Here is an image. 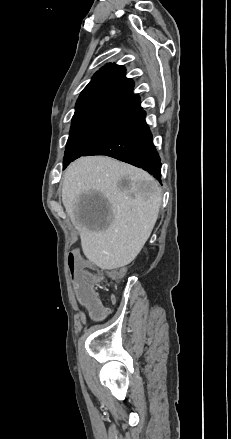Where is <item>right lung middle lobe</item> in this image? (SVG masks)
<instances>
[{
    "instance_id": "dd1d6c3e",
    "label": "right lung middle lobe",
    "mask_w": 231,
    "mask_h": 439,
    "mask_svg": "<svg viewBox=\"0 0 231 439\" xmlns=\"http://www.w3.org/2000/svg\"><path fill=\"white\" fill-rule=\"evenodd\" d=\"M122 121L124 120L98 115L73 117L64 154V168L81 157Z\"/></svg>"
}]
</instances>
